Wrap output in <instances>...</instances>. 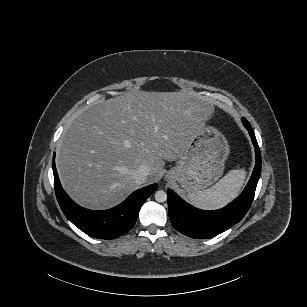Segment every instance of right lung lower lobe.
Instances as JSON below:
<instances>
[{
  "label": "right lung lower lobe",
  "instance_id": "98d812e1",
  "mask_svg": "<svg viewBox=\"0 0 307 307\" xmlns=\"http://www.w3.org/2000/svg\"><path fill=\"white\" fill-rule=\"evenodd\" d=\"M54 157L52 168L55 193L63 213L76 227L95 238L113 239L128 232L136 222L142 204L158 187L152 184L136 190L121 204L109 210H88L74 203L63 190Z\"/></svg>",
  "mask_w": 307,
  "mask_h": 307
}]
</instances>
